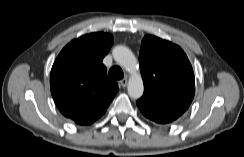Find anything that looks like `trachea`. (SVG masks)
Returning <instances> with one entry per match:
<instances>
[{"label": "trachea", "instance_id": "obj_1", "mask_svg": "<svg viewBox=\"0 0 244 157\" xmlns=\"http://www.w3.org/2000/svg\"><path fill=\"white\" fill-rule=\"evenodd\" d=\"M109 77L115 79V80H120L124 77L123 71L120 67L118 66H113L109 72H108Z\"/></svg>", "mask_w": 244, "mask_h": 157}]
</instances>
